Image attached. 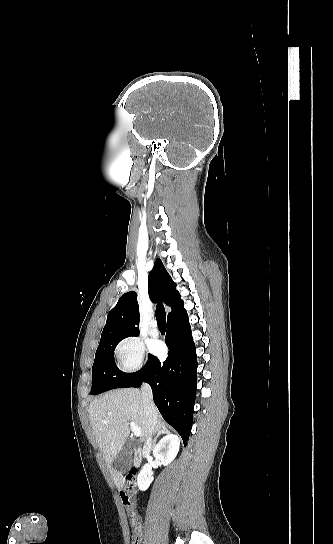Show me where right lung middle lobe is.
<instances>
[{"label":"right lung middle lobe","instance_id":"obj_1","mask_svg":"<svg viewBox=\"0 0 333 544\" xmlns=\"http://www.w3.org/2000/svg\"><path fill=\"white\" fill-rule=\"evenodd\" d=\"M126 337L116 336L100 340L92 367L90 395H97L115 388L129 387L142 377L146 366L135 373L128 374L120 371L115 364L114 349Z\"/></svg>","mask_w":333,"mask_h":544}]
</instances>
